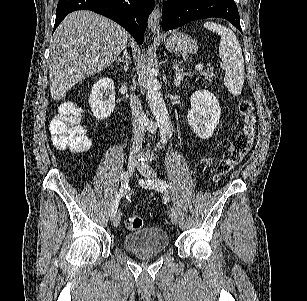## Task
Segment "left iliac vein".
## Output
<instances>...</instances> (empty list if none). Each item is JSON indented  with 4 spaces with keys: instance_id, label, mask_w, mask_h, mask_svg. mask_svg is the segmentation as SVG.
Wrapping results in <instances>:
<instances>
[{
    "instance_id": "4c4485c4",
    "label": "left iliac vein",
    "mask_w": 307,
    "mask_h": 301,
    "mask_svg": "<svg viewBox=\"0 0 307 301\" xmlns=\"http://www.w3.org/2000/svg\"><path fill=\"white\" fill-rule=\"evenodd\" d=\"M137 168H138V170H139V172L143 175V176H145L146 178H148V179H153V180H155L156 179V173L154 172V170L151 168V167H149L148 165H146V164H139V165H137ZM146 188H156V186L155 185H149V186H147ZM170 218H171V221H172V223L173 224H175V225H177L178 224V220H179V214H178V212L176 211V209L175 208H172L171 209V212H170Z\"/></svg>"
}]
</instances>
